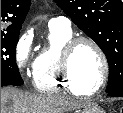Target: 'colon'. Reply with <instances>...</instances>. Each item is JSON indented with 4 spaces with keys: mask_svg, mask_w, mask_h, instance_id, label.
Listing matches in <instances>:
<instances>
[{
    "mask_svg": "<svg viewBox=\"0 0 123 113\" xmlns=\"http://www.w3.org/2000/svg\"><path fill=\"white\" fill-rule=\"evenodd\" d=\"M120 113H123V107L120 109Z\"/></svg>",
    "mask_w": 123,
    "mask_h": 113,
    "instance_id": "colon-1",
    "label": "colon"
}]
</instances>
